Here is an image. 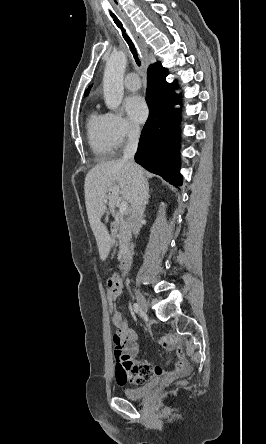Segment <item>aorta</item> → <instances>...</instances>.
I'll return each mask as SVG.
<instances>
[{"label":"aorta","instance_id":"762f6f07","mask_svg":"<svg viewBox=\"0 0 266 444\" xmlns=\"http://www.w3.org/2000/svg\"><path fill=\"white\" fill-rule=\"evenodd\" d=\"M127 58L124 52H114L106 62L103 77V91L105 104L108 109H117L123 98V76Z\"/></svg>","mask_w":266,"mask_h":444}]
</instances>
